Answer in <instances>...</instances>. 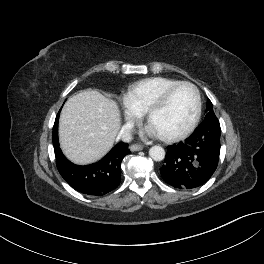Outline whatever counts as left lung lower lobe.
Listing matches in <instances>:
<instances>
[{
	"mask_svg": "<svg viewBox=\"0 0 264 264\" xmlns=\"http://www.w3.org/2000/svg\"><path fill=\"white\" fill-rule=\"evenodd\" d=\"M220 135L219 123L204 120L185 142L168 147L160 168L164 181L179 189L207 182L218 165Z\"/></svg>",
	"mask_w": 264,
	"mask_h": 264,
	"instance_id": "left-lung-lower-lobe-1",
	"label": "left lung lower lobe"
}]
</instances>
